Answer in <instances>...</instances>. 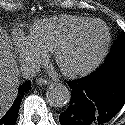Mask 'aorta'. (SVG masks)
<instances>
[{"mask_svg":"<svg viewBox=\"0 0 125 125\" xmlns=\"http://www.w3.org/2000/svg\"><path fill=\"white\" fill-rule=\"evenodd\" d=\"M46 96L50 106L62 108L69 103L71 92L66 85L54 83L48 88Z\"/></svg>","mask_w":125,"mask_h":125,"instance_id":"obj_1","label":"aorta"}]
</instances>
